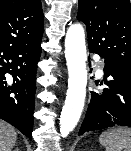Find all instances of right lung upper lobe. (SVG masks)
I'll return each instance as SVG.
<instances>
[{"mask_svg":"<svg viewBox=\"0 0 131 151\" xmlns=\"http://www.w3.org/2000/svg\"><path fill=\"white\" fill-rule=\"evenodd\" d=\"M42 34L40 0H0V46L37 43Z\"/></svg>","mask_w":131,"mask_h":151,"instance_id":"right-lung-upper-lobe-1","label":"right lung upper lobe"}]
</instances>
